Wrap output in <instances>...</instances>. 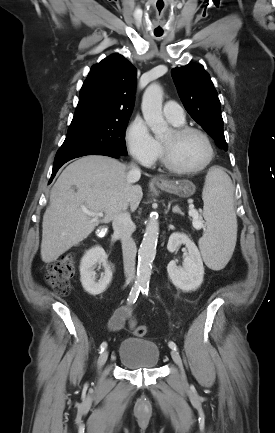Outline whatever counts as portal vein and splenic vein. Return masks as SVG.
<instances>
[{
	"mask_svg": "<svg viewBox=\"0 0 275 433\" xmlns=\"http://www.w3.org/2000/svg\"><path fill=\"white\" fill-rule=\"evenodd\" d=\"M83 212L86 213L88 216H91V217H95V218L103 217V213L102 212L94 213V212L88 211L87 209H83ZM188 214H189L190 217L193 218L192 224H193L194 228H196V229L204 228L203 222L201 221L200 215H199V213H198V211L196 209H194L193 207H191L189 209Z\"/></svg>",
	"mask_w": 275,
	"mask_h": 433,
	"instance_id": "18ae733b",
	"label": "portal vein and splenic vein"
}]
</instances>
